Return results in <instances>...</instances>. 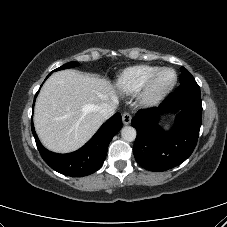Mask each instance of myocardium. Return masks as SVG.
Segmentation results:
<instances>
[{
	"label": "myocardium",
	"instance_id": "1",
	"mask_svg": "<svg viewBox=\"0 0 227 227\" xmlns=\"http://www.w3.org/2000/svg\"><path fill=\"white\" fill-rule=\"evenodd\" d=\"M171 71L174 74L173 81L163 87L158 86V79L163 72ZM177 73L169 67L159 68L146 82L140 94V101L144 106L151 107L160 103L175 87L177 83Z\"/></svg>",
	"mask_w": 227,
	"mask_h": 227
}]
</instances>
